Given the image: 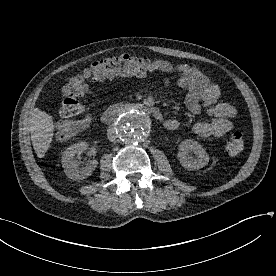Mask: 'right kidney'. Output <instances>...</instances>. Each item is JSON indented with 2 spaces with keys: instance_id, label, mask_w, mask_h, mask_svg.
Masks as SVG:
<instances>
[{
  "instance_id": "right-kidney-1",
  "label": "right kidney",
  "mask_w": 276,
  "mask_h": 276,
  "mask_svg": "<svg viewBox=\"0 0 276 276\" xmlns=\"http://www.w3.org/2000/svg\"><path fill=\"white\" fill-rule=\"evenodd\" d=\"M88 148L87 142H78L70 147H68L62 155V167L66 176L73 180H83L89 177L95 168L97 167L98 162L96 160L90 161L89 164L83 168H79V160L76 155L82 154Z\"/></svg>"
}]
</instances>
